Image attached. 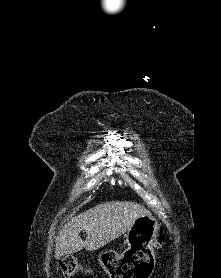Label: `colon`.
<instances>
[{
	"instance_id": "5ec220e1",
	"label": "colon",
	"mask_w": 221,
	"mask_h": 278,
	"mask_svg": "<svg viewBox=\"0 0 221 278\" xmlns=\"http://www.w3.org/2000/svg\"><path fill=\"white\" fill-rule=\"evenodd\" d=\"M165 244V238L159 236L155 242L157 248H162ZM60 271L63 278H89V272L77 259L66 257L60 262Z\"/></svg>"
}]
</instances>
